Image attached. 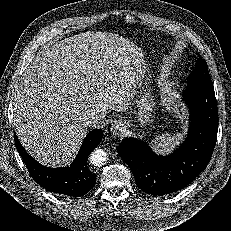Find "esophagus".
I'll return each mask as SVG.
<instances>
[{
	"label": "esophagus",
	"instance_id": "esophagus-1",
	"mask_svg": "<svg viewBox=\"0 0 231 231\" xmlns=\"http://www.w3.org/2000/svg\"><path fill=\"white\" fill-rule=\"evenodd\" d=\"M124 131L123 125L117 121H115L111 126V132L113 135H120Z\"/></svg>",
	"mask_w": 231,
	"mask_h": 231
}]
</instances>
